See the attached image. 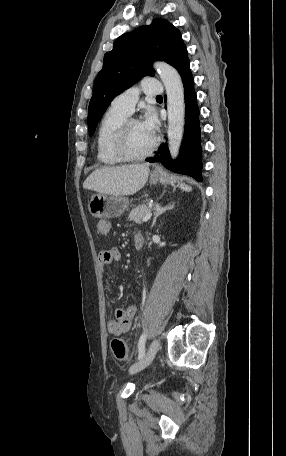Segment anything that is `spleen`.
Masks as SVG:
<instances>
[{
	"instance_id": "1",
	"label": "spleen",
	"mask_w": 286,
	"mask_h": 456,
	"mask_svg": "<svg viewBox=\"0 0 286 456\" xmlns=\"http://www.w3.org/2000/svg\"><path fill=\"white\" fill-rule=\"evenodd\" d=\"M181 189H183L184 191H190L191 187H188L186 185H181Z\"/></svg>"
}]
</instances>
